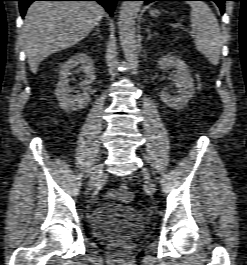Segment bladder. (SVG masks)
<instances>
[{
	"instance_id": "bladder-1",
	"label": "bladder",
	"mask_w": 247,
	"mask_h": 265,
	"mask_svg": "<svg viewBox=\"0 0 247 265\" xmlns=\"http://www.w3.org/2000/svg\"><path fill=\"white\" fill-rule=\"evenodd\" d=\"M143 215L133 206L109 204L101 207L93 218L91 229L100 239L126 237L143 227Z\"/></svg>"
}]
</instances>
